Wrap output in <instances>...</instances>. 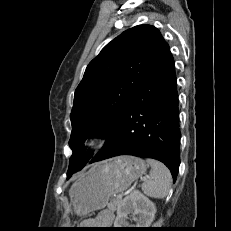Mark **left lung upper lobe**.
Listing matches in <instances>:
<instances>
[{"instance_id":"obj_1","label":"left lung upper lobe","mask_w":231,"mask_h":231,"mask_svg":"<svg viewBox=\"0 0 231 231\" xmlns=\"http://www.w3.org/2000/svg\"><path fill=\"white\" fill-rule=\"evenodd\" d=\"M165 43L157 28L138 25L109 42L89 63L74 94L67 176L91 159L82 144L87 137H107Z\"/></svg>"}]
</instances>
